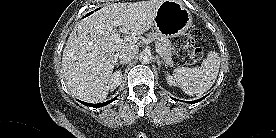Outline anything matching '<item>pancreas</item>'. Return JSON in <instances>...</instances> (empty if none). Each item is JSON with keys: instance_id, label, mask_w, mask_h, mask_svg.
I'll use <instances>...</instances> for the list:
<instances>
[{"instance_id": "cf45deb5", "label": "pancreas", "mask_w": 276, "mask_h": 138, "mask_svg": "<svg viewBox=\"0 0 276 138\" xmlns=\"http://www.w3.org/2000/svg\"><path fill=\"white\" fill-rule=\"evenodd\" d=\"M147 36L153 38V40L156 43V46L160 48V55L163 58V60L167 64L173 65L171 44L168 38L166 36H163L162 34H159L158 32L149 33Z\"/></svg>"}]
</instances>
